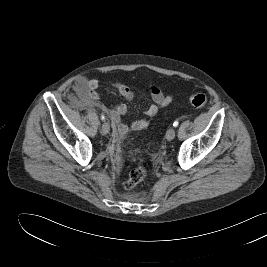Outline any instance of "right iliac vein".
I'll return each mask as SVG.
<instances>
[{"label": "right iliac vein", "mask_w": 267, "mask_h": 267, "mask_svg": "<svg viewBox=\"0 0 267 267\" xmlns=\"http://www.w3.org/2000/svg\"><path fill=\"white\" fill-rule=\"evenodd\" d=\"M110 131V125L108 122H104L101 126V133L106 135Z\"/></svg>", "instance_id": "1"}]
</instances>
